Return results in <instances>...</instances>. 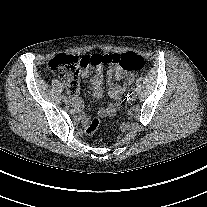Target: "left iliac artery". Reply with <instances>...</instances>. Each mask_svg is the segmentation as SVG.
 <instances>
[{
    "mask_svg": "<svg viewBox=\"0 0 207 207\" xmlns=\"http://www.w3.org/2000/svg\"><path fill=\"white\" fill-rule=\"evenodd\" d=\"M129 93H130L131 95H134V94L136 93L135 88H134V87L131 88V89L129 90Z\"/></svg>",
    "mask_w": 207,
    "mask_h": 207,
    "instance_id": "obj_1",
    "label": "left iliac artery"
}]
</instances>
